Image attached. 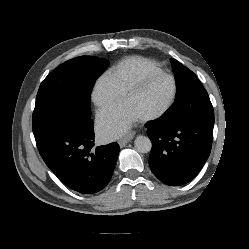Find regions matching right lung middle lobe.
<instances>
[{"label":"right lung middle lobe","mask_w":249,"mask_h":249,"mask_svg":"<svg viewBox=\"0 0 249 249\" xmlns=\"http://www.w3.org/2000/svg\"><path fill=\"white\" fill-rule=\"evenodd\" d=\"M109 62L98 57L80 56L52 71L41 83L32 117L33 129L65 114L71 119L90 117V95L96 79Z\"/></svg>","instance_id":"dd1d6c3e"}]
</instances>
